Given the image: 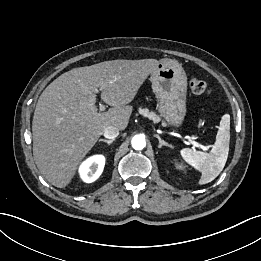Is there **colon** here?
<instances>
[{"instance_id": "obj_1", "label": "colon", "mask_w": 261, "mask_h": 261, "mask_svg": "<svg viewBox=\"0 0 261 261\" xmlns=\"http://www.w3.org/2000/svg\"><path fill=\"white\" fill-rule=\"evenodd\" d=\"M189 86L192 93L198 96L207 95L210 91L208 84L204 80L197 77L190 80Z\"/></svg>"}]
</instances>
